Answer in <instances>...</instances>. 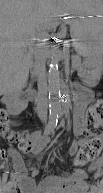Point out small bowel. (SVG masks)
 <instances>
[{"mask_svg":"<svg viewBox=\"0 0 103 193\" xmlns=\"http://www.w3.org/2000/svg\"><path fill=\"white\" fill-rule=\"evenodd\" d=\"M84 131V123H79L76 126V132L78 135H82ZM78 142H75L72 146V148H76L78 145ZM43 143L41 141L38 140V138L36 136H32L30 138H28L22 146V149L24 151V153L28 154L34 151H38L41 149ZM19 170L22 172L21 175L16 179V181L20 184L22 181H27L29 182V178L27 176V174L24 171V168L21 164L18 165ZM85 177V173L84 172H80L79 174L72 176V175H67V174H62L58 176V179L64 183L67 186H79L80 182L83 180V178ZM15 181V180H14ZM15 181V182H16ZM13 183V181H12ZM17 183V184H18ZM55 183V179H49L47 180L46 186L44 188V192H58V188L56 186H54ZM30 184V183H29ZM26 193H34V188L32 187V185H29L28 190H26Z\"/></svg>","mask_w":103,"mask_h":193,"instance_id":"small-bowel-1","label":"small bowel"}]
</instances>
